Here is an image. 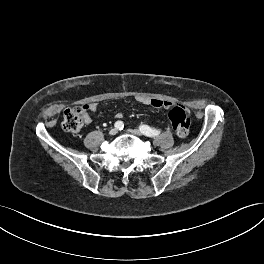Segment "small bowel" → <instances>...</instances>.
I'll return each instance as SVG.
<instances>
[{"instance_id": "obj_1", "label": "small bowel", "mask_w": 264, "mask_h": 264, "mask_svg": "<svg viewBox=\"0 0 264 264\" xmlns=\"http://www.w3.org/2000/svg\"><path fill=\"white\" fill-rule=\"evenodd\" d=\"M138 102L144 104V105H150L156 108H165V109H169L173 106V103L170 101H166V100H160V99H151V98H147V97H139L137 99ZM89 111H96L98 108V104L97 103H90L88 105H86ZM117 118H122V114L118 113L116 114ZM90 117L88 115H86L85 117V123L89 124L90 123Z\"/></svg>"}]
</instances>
